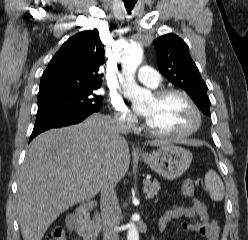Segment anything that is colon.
Instances as JSON below:
<instances>
[{"mask_svg":"<svg viewBox=\"0 0 248 240\" xmlns=\"http://www.w3.org/2000/svg\"><path fill=\"white\" fill-rule=\"evenodd\" d=\"M182 194L184 197L190 198L194 195V184L191 180L184 182L182 186ZM45 240H66L65 230L62 226H55L46 236Z\"/></svg>","mask_w":248,"mask_h":240,"instance_id":"1","label":"colon"}]
</instances>
